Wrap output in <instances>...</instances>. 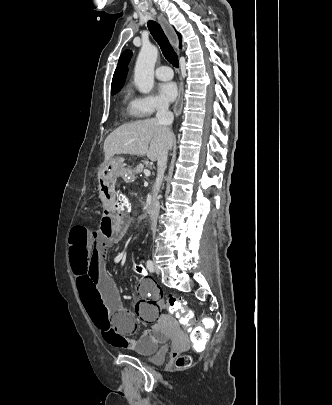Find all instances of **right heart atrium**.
<instances>
[{"label": "right heart atrium", "instance_id": "right-heart-atrium-1", "mask_svg": "<svg viewBox=\"0 0 332 405\" xmlns=\"http://www.w3.org/2000/svg\"><path fill=\"white\" fill-rule=\"evenodd\" d=\"M135 107L140 117H149L167 109L165 100L154 95H145L135 98Z\"/></svg>", "mask_w": 332, "mask_h": 405}]
</instances>
